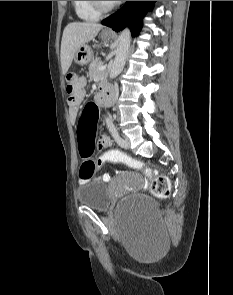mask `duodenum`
Masks as SVG:
<instances>
[{
	"mask_svg": "<svg viewBox=\"0 0 233 295\" xmlns=\"http://www.w3.org/2000/svg\"><path fill=\"white\" fill-rule=\"evenodd\" d=\"M112 92L109 88L101 89V91L95 96V102L99 103L103 98L111 97Z\"/></svg>",
	"mask_w": 233,
	"mask_h": 295,
	"instance_id": "duodenum-1",
	"label": "duodenum"
}]
</instances>
